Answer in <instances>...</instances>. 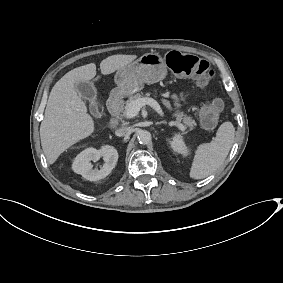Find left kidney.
Returning <instances> with one entry per match:
<instances>
[{
    "instance_id": "obj_1",
    "label": "left kidney",
    "mask_w": 283,
    "mask_h": 283,
    "mask_svg": "<svg viewBox=\"0 0 283 283\" xmlns=\"http://www.w3.org/2000/svg\"><path fill=\"white\" fill-rule=\"evenodd\" d=\"M170 145L175 152L182 154L183 156L189 155V150L180 134H175L173 136L172 140L170 141Z\"/></svg>"
}]
</instances>
